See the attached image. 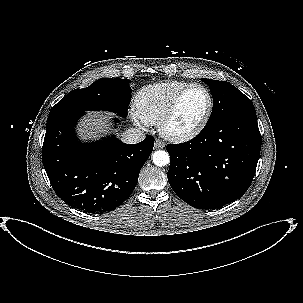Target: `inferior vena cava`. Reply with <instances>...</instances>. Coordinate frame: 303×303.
<instances>
[{
    "label": "inferior vena cava",
    "mask_w": 303,
    "mask_h": 303,
    "mask_svg": "<svg viewBox=\"0 0 303 303\" xmlns=\"http://www.w3.org/2000/svg\"><path fill=\"white\" fill-rule=\"evenodd\" d=\"M123 142L128 144H136L145 139V133L137 128H129L121 134Z\"/></svg>",
    "instance_id": "obj_1"
}]
</instances>
